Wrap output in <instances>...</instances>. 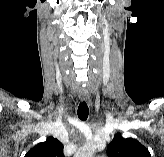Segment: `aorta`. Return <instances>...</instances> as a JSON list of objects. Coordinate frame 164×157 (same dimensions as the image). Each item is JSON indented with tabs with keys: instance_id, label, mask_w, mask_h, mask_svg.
Masks as SVG:
<instances>
[{
	"instance_id": "1",
	"label": "aorta",
	"mask_w": 164,
	"mask_h": 157,
	"mask_svg": "<svg viewBox=\"0 0 164 157\" xmlns=\"http://www.w3.org/2000/svg\"><path fill=\"white\" fill-rule=\"evenodd\" d=\"M94 151V145H85L81 150L76 153L75 157H93Z\"/></svg>"
}]
</instances>
